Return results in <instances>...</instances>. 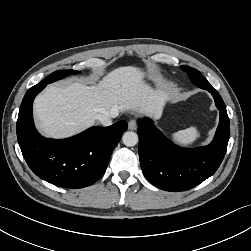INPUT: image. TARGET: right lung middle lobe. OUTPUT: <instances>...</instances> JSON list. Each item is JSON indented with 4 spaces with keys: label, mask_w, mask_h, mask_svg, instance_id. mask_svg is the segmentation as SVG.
Returning a JSON list of instances; mask_svg holds the SVG:
<instances>
[{
    "label": "right lung middle lobe",
    "mask_w": 251,
    "mask_h": 251,
    "mask_svg": "<svg viewBox=\"0 0 251 251\" xmlns=\"http://www.w3.org/2000/svg\"><path fill=\"white\" fill-rule=\"evenodd\" d=\"M79 71L74 70H62V71H56L47 76L44 80H42L39 84H49L56 80L62 79L63 77L72 75V74H78Z\"/></svg>",
    "instance_id": "right-lung-middle-lobe-1"
}]
</instances>
